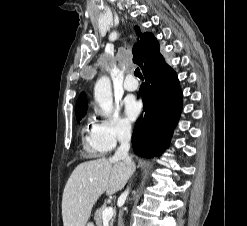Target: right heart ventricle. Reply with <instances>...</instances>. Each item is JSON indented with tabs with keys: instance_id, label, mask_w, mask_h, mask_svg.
Instances as JSON below:
<instances>
[{
	"instance_id": "right-heart-ventricle-1",
	"label": "right heart ventricle",
	"mask_w": 247,
	"mask_h": 226,
	"mask_svg": "<svg viewBox=\"0 0 247 226\" xmlns=\"http://www.w3.org/2000/svg\"><path fill=\"white\" fill-rule=\"evenodd\" d=\"M82 148L85 156L90 158L100 157L106 153L107 150L94 137V125H86L82 129Z\"/></svg>"
}]
</instances>
